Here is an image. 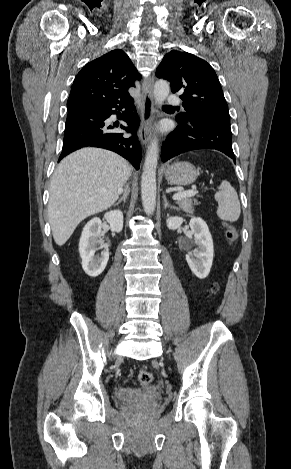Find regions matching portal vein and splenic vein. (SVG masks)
<instances>
[{
    "label": "portal vein and splenic vein",
    "instance_id": "portal-vein-and-splenic-vein-1",
    "mask_svg": "<svg viewBox=\"0 0 291 469\" xmlns=\"http://www.w3.org/2000/svg\"><path fill=\"white\" fill-rule=\"evenodd\" d=\"M195 190H188V191H183V192H178L173 195V200H180L182 198L186 197H192L195 195Z\"/></svg>",
    "mask_w": 291,
    "mask_h": 469
}]
</instances>
